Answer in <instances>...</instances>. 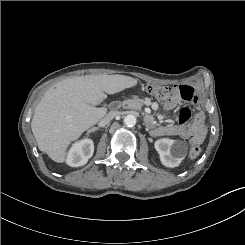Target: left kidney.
Segmentation results:
<instances>
[{
    "mask_svg": "<svg viewBox=\"0 0 245 245\" xmlns=\"http://www.w3.org/2000/svg\"><path fill=\"white\" fill-rule=\"evenodd\" d=\"M154 147L159 154L161 163L169 168L179 166L186 155L183 144L169 138L158 139L155 141Z\"/></svg>",
    "mask_w": 245,
    "mask_h": 245,
    "instance_id": "1",
    "label": "left kidney"
}]
</instances>
